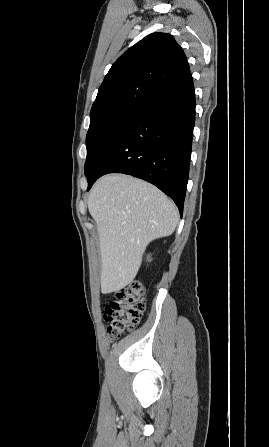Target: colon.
<instances>
[{"label": "colon", "instance_id": "1", "mask_svg": "<svg viewBox=\"0 0 269 447\" xmlns=\"http://www.w3.org/2000/svg\"><path fill=\"white\" fill-rule=\"evenodd\" d=\"M144 297L145 287L138 281L114 291L113 300L105 308V318L109 323L107 332L112 340L140 324L145 310Z\"/></svg>", "mask_w": 269, "mask_h": 447}]
</instances>
